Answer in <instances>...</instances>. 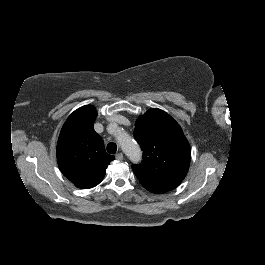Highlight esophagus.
Returning a JSON list of instances; mask_svg holds the SVG:
<instances>
[{
	"label": "esophagus",
	"mask_w": 265,
	"mask_h": 265,
	"mask_svg": "<svg viewBox=\"0 0 265 265\" xmlns=\"http://www.w3.org/2000/svg\"><path fill=\"white\" fill-rule=\"evenodd\" d=\"M115 158H116L117 160H119V161H122L123 158H124V155H123V153L120 152V153L116 154Z\"/></svg>",
	"instance_id": "obj_1"
}]
</instances>
